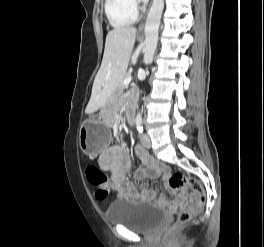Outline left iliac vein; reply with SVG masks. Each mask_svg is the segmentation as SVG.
Instances as JSON below:
<instances>
[{
    "instance_id": "1",
    "label": "left iliac vein",
    "mask_w": 264,
    "mask_h": 247,
    "mask_svg": "<svg viewBox=\"0 0 264 247\" xmlns=\"http://www.w3.org/2000/svg\"><path fill=\"white\" fill-rule=\"evenodd\" d=\"M141 143L145 148H150L151 147V140L148 134L143 133L141 135Z\"/></svg>"
}]
</instances>
